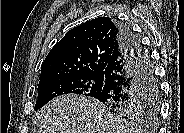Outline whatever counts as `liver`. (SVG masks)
Returning <instances> with one entry per match:
<instances>
[{
  "instance_id": "6515ba94",
  "label": "liver",
  "mask_w": 184,
  "mask_h": 133,
  "mask_svg": "<svg viewBox=\"0 0 184 133\" xmlns=\"http://www.w3.org/2000/svg\"><path fill=\"white\" fill-rule=\"evenodd\" d=\"M38 133H143L138 125L111 113L96 99L67 94L54 98L37 115Z\"/></svg>"
}]
</instances>
